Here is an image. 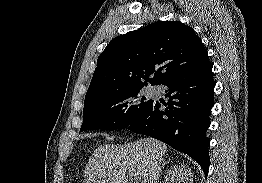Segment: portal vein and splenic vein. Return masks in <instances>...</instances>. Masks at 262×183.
<instances>
[{
	"mask_svg": "<svg viewBox=\"0 0 262 183\" xmlns=\"http://www.w3.org/2000/svg\"><path fill=\"white\" fill-rule=\"evenodd\" d=\"M127 175L131 178V179H133L134 181H138V180H140V177L137 175V174H134V173H132V172H128L127 173Z\"/></svg>",
	"mask_w": 262,
	"mask_h": 183,
	"instance_id": "18ae733b",
	"label": "portal vein and splenic vein"
}]
</instances>
